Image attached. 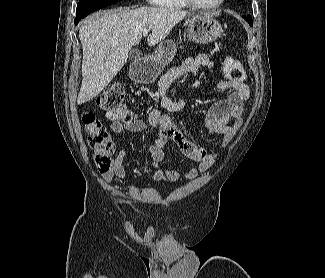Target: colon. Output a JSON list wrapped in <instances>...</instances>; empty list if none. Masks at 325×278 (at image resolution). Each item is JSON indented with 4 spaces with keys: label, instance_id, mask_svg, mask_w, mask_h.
Masks as SVG:
<instances>
[{
    "label": "colon",
    "instance_id": "5ec220e1",
    "mask_svg": "<svg viewBox=\"0 0 325 278\" xmlns=\"http://www.w3.org/2000/svg\"><path fill=\"white\" fill-rule=\"evenodd\" d=\"M224 73L231 82L242 83L245 80L243 66L231 56L225 59ZM96 104L99 109L106 112L111 121L127 123L134 120V114L126 104V92L121 85H112L102 91L97 96ZM82 122L88 135L89 145L94 150L96 167L100 171H107L116 148L109 130L89 111L83 113Z\"/></svg>",
    "mask_w": 325,
    "mask_h": 278
}]
</instances>
